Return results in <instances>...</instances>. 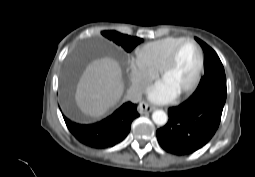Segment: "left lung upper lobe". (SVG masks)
I'll return each mask as SVG.
<instances>
[{
    "label": "left lung upper lobe",
    "instance_id": "left-lung-upper-lobe-1",
    "mask_svg": "<svg viewBox=\"0 0 255 177\" xmlns=\"http://www.w3.org/2000/svg\"><path fill=\"white\" fill-rule=\"evenodd\" d=\"M195 39L201 45L204 51L205 74L201 78L197 89L193 93V96L212 91L227 96L225 71L218 55L206 43L198 38Z\"/></svg>",
    "mask_w": 255,
    "mask_h": 177
}]
</instances>
